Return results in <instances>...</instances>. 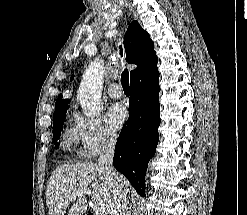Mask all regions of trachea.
<instances>
[{"instance_id":"trachea-1","label":"trachea","mask_w":247,"mask_h":215,"mask_svg":"<svg viewBox=\"0 0 247 215\" xmlns=\"http://www.w3.org/2000/svg\"><path fill=\"white\" fill-rule=\"evenodd\" d=\"M120 55L123 56V50L121 46H120ZM121 84L124 90H130L129 73L126 69L121 74Z\"/></svg>"}]
</instances>
